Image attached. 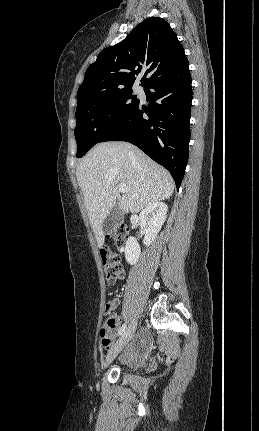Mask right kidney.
Segmentation results:
<instances>
[{
	"mask_svg": "<svg viewBox=\"0 0 259 431\" xmlns=\"http://www.w3.org/2000/svg\"><path fill=\"white\" fill-rule=\"evenodd\" d=\"M167 205L163 202H154L146 206L139 215L141 230L145 237L143 243L149 246L156 238L160 231L167 214ZM125 258L130 265L136 264L138 261L141 249L134 237H129L125 245Z\"/></svg>",
	"mask_w": 259,
	"mask_h": 431,
	"instance_id": "obj_1",
	"label": "right kidney"
}]
</instances>
